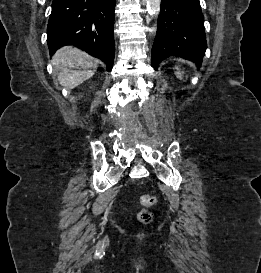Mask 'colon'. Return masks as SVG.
Returning <instances> with one entry per match:
<instances>
[{
	"instance_id": "obj_1",
	"label": "colon",
	"mask_w": 261,
	"mask_h": 273,
	"mask_svg": "<svg viewBox=\"0 0 261 273\" xmlns=\"http://www.w3.org/2000/svg\"><path fill=\"white\" fill-rule=\"evenodd\" d=\"M140 202L143 206H152L155 204L156 199L153 195L144 194L141 196ZM138 218L142 222H149L152 219V214L149 211L142 209L138 213Z\"/></svg>"
}]
</instances>
